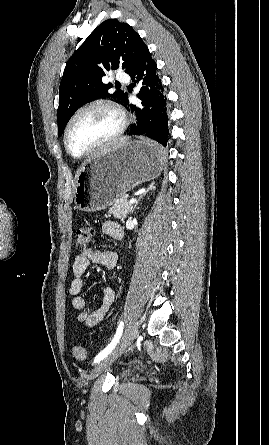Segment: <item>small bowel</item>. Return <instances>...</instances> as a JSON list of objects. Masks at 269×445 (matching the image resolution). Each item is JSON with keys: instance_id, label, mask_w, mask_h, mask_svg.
Wrapping results in <instances>:
<instances>
[{"instance_id": "obj_1", "label": "small bowel", "mask_w": 269, "mask_h": 445, "mask_svg": "<svg viewBox=\"0 0 269 445\" xmlns=\"http://www.w3.org/2000/svg\"><path fill=\"white\" fill-rule=\"evenodd\" d=\"M103 232L116 240L123 236L120 225L113 221H106L102 225ZM97 263L107 269H115L118 263V257L112 251H99L94 249H86L79 253L73 263V279L69 285V293L71 294V305L78 310L77 321L85 324L87 327H93L103 320L106 313L111 308L115 300V292L111 287H105L102 290V305L96 309H90L81 292L84 287V276L90 263Z\"/></svg>"}]
</instances>
